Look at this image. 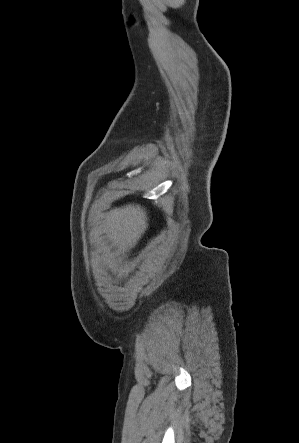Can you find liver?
I'll list each match as a JSON object with an SVG mask.
<instances>
[{
	"mask_svg": "<svg viewBox=\"0 0 299 443\" xmlns=\"http://www.w3.org/2000/svg\"><path fill=\"white\" fill-rule=\"evenodd\" d=\"M147 214L140 205L129 204L110 210L104 217L101 230L120 257L132 249L148 228Z\"/></svg>",
	"mask_w": 299,
	"mask_h": 443,
	"instance_id": "liver-1",
	"label": "liver"
}]
</instances>
